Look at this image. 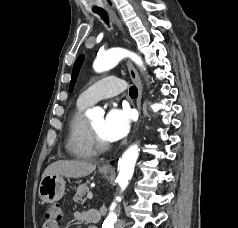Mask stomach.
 Wrapping results in <instances>:
<instances>
[{"label":"stomach","mask_w":238,"mask_h":228,"mask_svg":"<svg viewBox=\"0 0 238 228\" xmlns=\"http://www.w3.org/2000/svg\"><path fill=\"white\" fill-rule=\"evenodd\" d=\"M106 176L108 171H101ZM65 180L61 175H47L42 178L39 185V197L47 203L58 201L62 198L65 192Z\"/></svg>","instance_id":"0dacf381"}]
</instances>
